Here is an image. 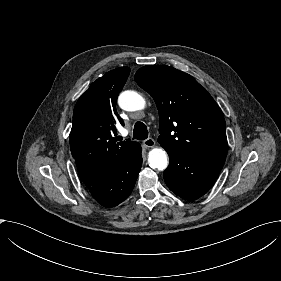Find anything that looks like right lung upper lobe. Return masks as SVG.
I'll return each instance as SVG.
<instances>
[{
  "label": "right lung upper lobe",
  "mask_w": 281,
  "mask_h": 281,
  "mask_svg": "<svg viewBox=\"0 0 281 281\" xmlns=\"http://www.w3.org/2000/svg\"><path fill=\"white\" fill-rule=\"evenodd\" d=\"M130 73L129 67L114 69L93 82L78 99L70 132L71 153L83 184L89 188L114 173L139 143L115 142V123L123 121L116 102Z\"/></svg>",
  "instance_id": "obj_1"
}]
</instances>
